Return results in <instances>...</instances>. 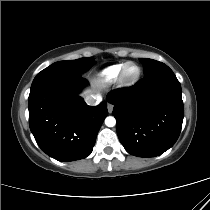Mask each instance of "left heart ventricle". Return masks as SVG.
Instances as JSON below:
<instances>
[{"instance_id":"left-heart-ventricle-1","label":"left heart ventricle","mask_w":210,"mask_h":210,"mask_svg":"<svg viewBox=\"0 0 210 210\" xmlns=\"http://www.w3.org/2000/svg\"><path fill=\"white\" fill-rule=\"evenodd\" d=\"M137 73V68L134 65H130L127 68L126 74L128 77H133Z\"/></svg>"}]
</instances>
